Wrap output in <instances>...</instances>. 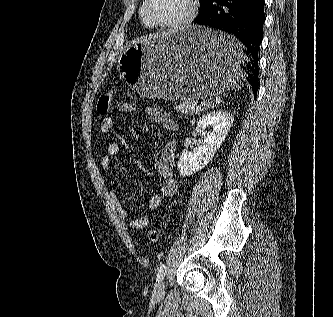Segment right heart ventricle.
<instances>
[{
    "label": "right heart ventricle",
    "instance_id": "right-heart-ventricle-1",
    "mask_svg": "<svg viewBox=\"0 0 333 317\" xmlns=\"http://www.w3.org/2000/svg\"><path fill=\"white\" fill-rule=\"evenodd\" d=\"M141 17H142V15H141ZM142 22H143V24L145 25V27H147V28H151V27L148 25V23L144 20L143 17H142Z\"/></svg>",
    "mask_w": 333,
    "mask_h": 317
}]
</instances>
